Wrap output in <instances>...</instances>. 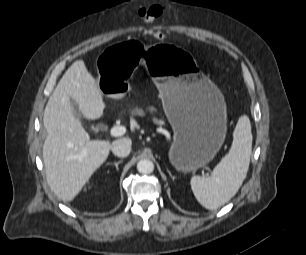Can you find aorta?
Masks as SVG:
<instances>
[{"mask_svg": "<svg viewBox=\"0 0 306 255\" xmlns=\"http://www.w3.org/2000/svg\"><path fill=\"white\" fill-rule=\"evenodd\" d=\"M137 170L141 174H150L154 171V163L149 159H141L137 163Z\"/></svg>", "mask_w": 306, "mask_h": 255, "instance_id": "762f6f07", "label": "aorta"}]
</instances>
